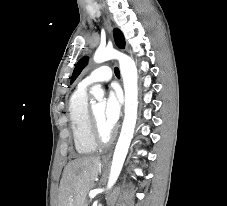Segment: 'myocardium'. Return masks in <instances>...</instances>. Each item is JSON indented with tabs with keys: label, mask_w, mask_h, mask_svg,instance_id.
<instances>
[{
	"label": "myocardium",
	"mask_w": 227,
	"mask_h": 206,
	"mask_svg": "<svg viewBox=\"0 0 227 206\" xmlns=\"http://www.w3.org/2000/svg\"><path fill=\"white\" fill-rule=\"evenodd\" d=\"M89 119H90V131L93 140L97 145H107L109 144L114 136L113 130H111L108 135L104 136L102 135L96 116L94 114L93 108H89Z\"/></svg>",
	"instance_id": "myocardium-1"
}]
</instances>
